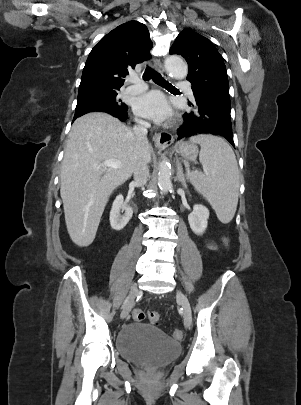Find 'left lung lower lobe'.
I'll use <instances>...</instances> for the list:
<instances>
[{"label":"left lung lower lobe","instance_id":"obj_1","mask_svg":"<svg viewBox=\"0 0 301 405\" xmlns=\"http://www.w3.org/2000/svg\"><path fill=\"white\" fill-rule=\"evenodd\" d=\"M196 111L183 115L184 124L178 129V140L199 134L222 136L234 147L230 106L197 97Z\"/></svg>","mask_w":301,"mask_h":405}]
</instances>
